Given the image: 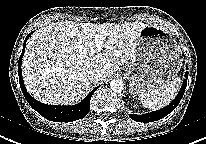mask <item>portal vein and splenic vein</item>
<instances>
[{"label":"portal vein and splenic vein","mask_w":206,"mask_h":144,"mask_svg":"<svg viewBox=\"0 0 206 144\" xmlns=\"http://www.w3.org/2000/svg\"><path fill=\"white\" fill-rule=\"evenodd\" d=\"M94 38H95V41H96L97 50L101 51L102 47H103V36L99 35V34H96Z\"/></svg>","instance_id":"portal-vein-and-splenic-vein-1"}]
</instances>
